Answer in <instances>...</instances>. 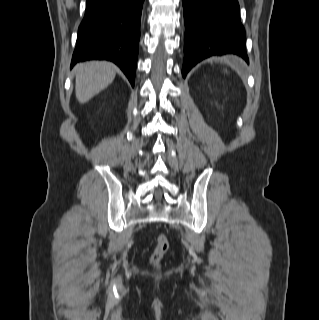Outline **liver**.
<instances>
[{
	"instance_id": "6515ba94",
	"label": "liver",
	"mask_w": 319,
	"mask_h": 320,
	"mask_svg": "<svg viewBox=\"0 0 319 320\" xmlns=\"http://www.w3.org/2000/svg\"><path fill=\"white\" fill-rule=\"evenodd\" d=\"M75 94L79 103H86L115 78V67L106 61H88L75 66Z\"/></svg>"
}]
</instances>
